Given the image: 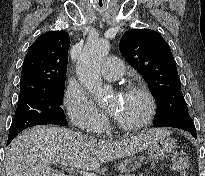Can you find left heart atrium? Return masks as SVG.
Listing matches in <instances>:
<instances>
[{
	"mask_svg": "<svg viewBox=\"0 0 205 176\" xmlns=\"http://www.w3.org/2000/svg\"><path fill=\"white\" fill-rule=\"evenodd\" d=\"M111 111H112V113H114V108L113 107H111Z\"/></svg>",
	"mask_w": 205,
	"mask_h": 176,
	"instance_id": "39dd6f15",
	"label": "left heart atrium"
}]
</instances>
